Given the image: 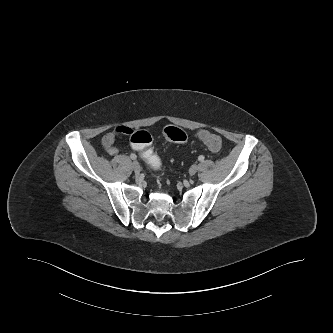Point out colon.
I'll list each match as a JSON object with an SVG mask.
<instances>
[{"label": "colon", "instance_id": "1", "mask_svg": "<svg viewBox=\"0 0 333 333\" xmlns=\"http://www.w3.org/2000/svg\"><path fill=\"white\" fill-rule=\"evenodd\" d=\"M136 137L130 140V147L135 151L137 158L142 159V164L151 175H159L163 171L162 156L156 152L150 145L152 137L149 132L138 130ZM166 139L175 143H184L187 140V134L184 130L169 126L164 130ZM199 138L203 144L211 151L218 152L221 149V138L210 131L203 130L199 132Z\"/></svg>", "mask_w": 333, "mask_h": 333}]
</instances>
